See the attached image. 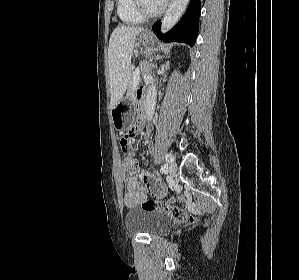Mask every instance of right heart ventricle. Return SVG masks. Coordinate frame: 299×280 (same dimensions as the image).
I'll use <instances>...</instances> for the list:
<instances>
[{"label": "right heart ventricle", "instance_id": "1", "mask_svg": "<svg viewBox=\"0 0 299 280\" xmlns=\"http://www.w3.org/2000/svg\"><path fill=\"white\" fill-rule=\"evenodd\" d=\"M117 14L120 20L128 25H137L144 20L134 10L132 0H117Z\"/></svg>", "mask_w": 299, "mask_h": 280}]
</instances>
